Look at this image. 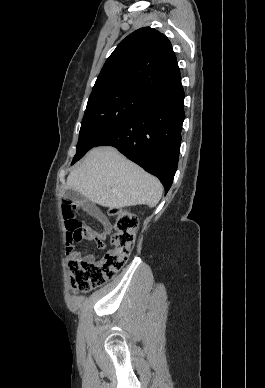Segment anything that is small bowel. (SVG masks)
<instances>
[{
  "label": "small bowel",
  "instance_id": "c3829d8e",
  "mask_svg": "<svg viewBox=\"0 0 265 388\" xmlns=\"http://www.w3.org/2000/svg\"><path fill=\"white\" fill-rule=\"evenodd\" d=\"M86 210L94 219L98 220L103 226L102 232H97L90 228H87L89 233V237L87 239L96 242L99 248H104L106 246V236L112 230V225L108 218L97 207L87 206ZM71 258H80L88 262H94L95 260L94 256L91 254L81 257L80 253L76 251H73L71 253Z\"/></svg>",
  "mask_w": 265,
  "mask_h": 388
}]
</instances>
